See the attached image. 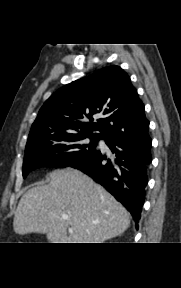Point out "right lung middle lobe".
I'll use <instances>...</instances> for the list:
<instances>
[{"instance_id": "dd1d6c3e", "label": "right lung middle lobe", "mask_w": 181, "mask_h": 288, "mask_svg": "<svg viewBox=\"0 0 181 288\" xmlns=\"http://www.w3.org/2000/svg\"><path fill=\"white\" fill-rule=\"evenodd\" d=\"M99 139L87 134L55 133L27 141L23 177L39 167L71 166L99 151L96 148Z\"/></svg>"}]
</instances>
